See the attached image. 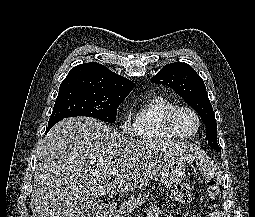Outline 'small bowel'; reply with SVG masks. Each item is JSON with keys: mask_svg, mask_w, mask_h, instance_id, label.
<instances>
[{"mask_svg": "<svg viewBox=\"0 0 255 217\" xmlns=\"http://www.w3.org/2000/svg\"><path fill=\"white\" fill-rule=\"evenodd\" d=\"M146 217H160V209L157 205L152 204L147 209ZM166 217H174L172 215H168ZM207 217H223L222 214H220L217 211L210 212Z\"/></svg>", "mask_w": 255, "mask_h": 217, "instance_id": "obj_1", "label": "small bowel"}]
</instances>
